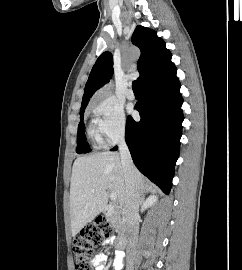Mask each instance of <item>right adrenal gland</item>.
Returning <instances> with one entry per match:
<instances>
[{"label": "right adrenal gland", "instance_id": "1", "mask_svg": "<svg viewBox=\"0 0 242 270\" xmlns=\"http://www.w3.org/2000/svg\"><path fill=\"white\" fill-rule=\"evenodd\" d=\"M149 192H150V189H148V188H145L141 191L140 204H142L144 202V197Z\"/></svg>", "mask_w": 242, "mask_h": 270}]
</instances>
